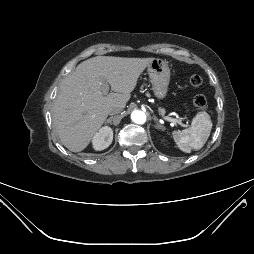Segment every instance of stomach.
Returning <instances> with one entry per match:
<instances>
[{
    "label": "stomach",
    "instance_id": "0dacf381",
    "mask_svg": "<svg viewBox=\"0 0 254 254\" xmlns=\"http://www.w3.org/2000/svg\"><path fill=\"white\" fill-rule=\"evenodd\" d=\"M147 72L152 82L154 95L158 99H164L168 92L170 81V69L162 59H153L147 66Z\"/></svg>",
    "mask_w": 254,
    "mask_h": 254
}]
</instances>
